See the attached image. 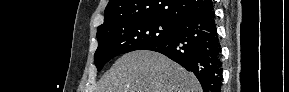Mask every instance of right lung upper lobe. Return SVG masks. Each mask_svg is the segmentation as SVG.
<instances>
[{
	"label": "right lung upper lobe",
	"mask_w": 289,
	"mask_h": 92,
	"mask_svg": "<svg viewBox=\"0 0 289 92\" xmlns=\"http://www.w3.org/2000/svg\"><path fill=\"white\" fill-rule=\"evenodd\" d=\"M211 8V0H110L105 8L104 23L97 30L138 18L156 17L180 22Z\"/></svg>",
	"instance_id": "1"
}]
</instances>
